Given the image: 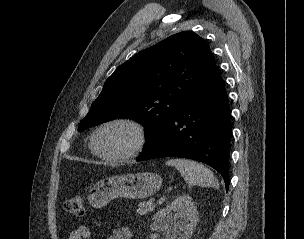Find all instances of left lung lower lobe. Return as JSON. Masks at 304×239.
Wrapping results in <instances>:
<instances>
[{
	"mask_svg": "<svg viewBox=\"0 0 304 239\" xmlns=\"http://www.w3.org/2000/svg\"><path fill=\"white\" fill-rule=\"evenodd\" d=\"M231 112L217 66L183 103L167 129L144 149L138 161L183 157L204 162L223 177L226 190L231 138Z\"/></svg>",
	"mask_w": 304,
	"mask_h": 239,
	"instance_id": "obj_1",
	"label": "left lung lower lobe"
}]
</instances>
